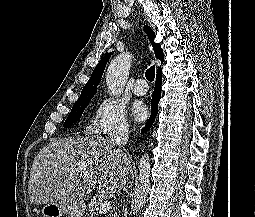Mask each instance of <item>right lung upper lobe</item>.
<instances>
[{"mask_svg": "<svg viewBox=\"0 0 255 217\" xmlns=\"http://www.w3.org/2000/svg\"><path fill=\"white\" fill-rule=\"evenodd\" d=\"M144 30L147 33L148 38H149V40H150V42L153 46V50H154L156 58L160 59L161 62H163L164 61V54H163V51L161 49V45L154 42L155 33L152 31V29L148 25L144 26ZM110 56H111V53L106 54L100 60V62L97 64V66L95 67L93 73L91 74V77H90L89 81L86 83V85L82 89L81 95L96 92L97 86L99 85V83L101 81L102 74L104 72L106 63L108 62ZM160 71H161V68L158 69V72H160Z\"/></svg>", "mask_w": 255, "mask_h": 217, "instance_id": "right-lung-upper-lobe-1", "label": "right lung upper lobe"}]
</instances>
